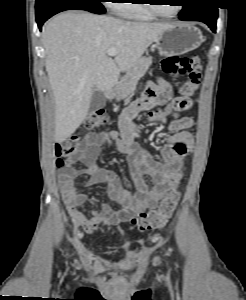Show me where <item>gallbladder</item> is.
Segmentation results:
<instances>
[{
    "label": "gallbladder",
    "instance_id": "bac80fb5",
    "mask_svg": "<svg viewBox=\"0 0 246 300\" xmlns=\"http://www.w3.org/2000/svg\"><path fill=\"white\" fill-rule=\"evenodd\" d=\"M106 98L102 91L98 90L96 87H93V93L90 100V111H96L105 106Z\"/></svg>",
    "mask_w": 246,
    "mask_h": 300
}]
</instances>
